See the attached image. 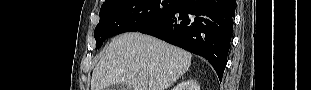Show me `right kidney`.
<instances>
[{
  "instance_id": "right-kidney-1",
  "label": "right kidney",
  "mask_w": 311,
  "mask_h": 90,
  "mask_svg": "<svg viewBox=\"0 0 311 90\" xmlns=\"http://www.w3.org/2000/svg\"><path fill=\"white\" fill-rule=\"evenodd\" d=\"M174 90H200V86L194 80H189L187 82H182Z\"/></svg>"
}]
</instances>
